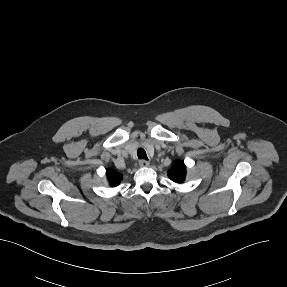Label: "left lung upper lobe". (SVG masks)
I'll return each instance as SVG.
<instances>
[{"label":"left lung upper lobe","instance_id":"obj_1","mask_svg":"<svg viewBox=\"0 0 287 287\" xmlns=\"http://www.w3.org/2000/svg\"><path fill=\"white\" fill-rule=\"evenodd\" d=\"M186 166L183 161L175 162L173 167L168 171L169 178L177 183H182L185 180Z\"/></svg>","mask_w":287,"mask_h":287}]
</instances>
